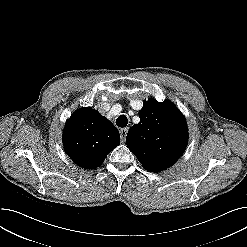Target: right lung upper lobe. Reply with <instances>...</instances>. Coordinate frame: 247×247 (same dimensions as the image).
<instances>
[{
  "label": "right lung upper lobe",
  "mask_w": 247,
  "mask_h": 247,
  "mask_svg": "<svg viewBox=\"0 0 247 247\" xmlns=\"http://www.w3.org/2000/svg\"><path fill=\"white\" fill-rule=\"evenodd\" d=\"M119 144L118 129L92 108L77 110L65 124V152L74 163L85 169L100 166L107 154Z\"/></svg>",
  "instance_id": "cb5924a9"
}]
</instances>
